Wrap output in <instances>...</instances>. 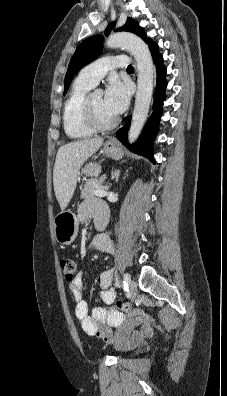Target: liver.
Returning <instances> with one entry per match:
<instances>
[{
	"mask_svg": "<svg viewBox=\"0 0 227 396\" xmlns=\"http://www.w3.org/2000/svg\"><path fill=\"white\" fill-rule=\"evenodd\" d=\"M102 144L103 138L97 137L74 141L58 149L53 170V185L61 210L68 206L74 194L80 167Z\"/></svg>",
	"mask_w": 227,
	"mask_h": 396,
	"instance_id": "1",
	"label": "liver"
}]
</instances>
